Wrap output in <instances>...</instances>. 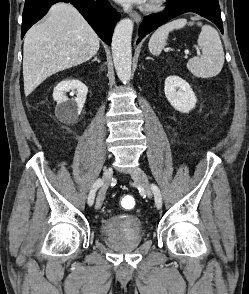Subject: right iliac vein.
<instances>
[{
    "instance_id": "63e3f726",
    "label": "right iliac vein",
    "mask_w": 249,
    "mask_h": 294,
    "mask_svg": "<svg viewBox=\"0 0 249 294\" xmlns=\"http://www.w3.org/2000/svg\"><path fill=\"white\" fill-rule=\"evenodd\" d=\"M112 175H113L112 167H108L104 170L103 177H102L103 184H102V187H101V189L97 195V199H96V208L97 209H99L104 202L106 191H107V188H108L109 183L111 181Z\"/></svg>"
}]
</instances>
